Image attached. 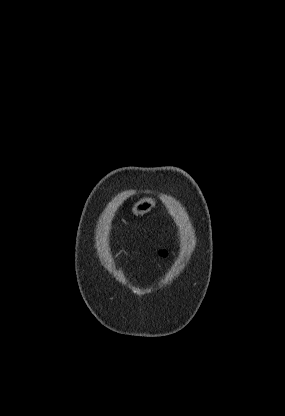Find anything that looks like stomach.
<instances>
[{
  "label": "stomach",
  "mask_w": 285,
  "mask_h": 416,
  "mask_svg": "<svg viewBox=\"0 0 285 416\" xmlns=\"http://www.w3.org/2000/svg\"><path fill=\"white\" fill-rule=\"evenodd\" d=\"M154 206L155 200H152V198H142V200H139V202H136L135 206H133V214H135V216H143V214L150 212Z\"/></svg>",
  "instance_id": "stomach-1"
}]
</instances>
